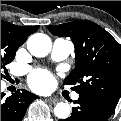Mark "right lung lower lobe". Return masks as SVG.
<instances>
[{
  "label": "right lung lower lobe",
  "mask_w": 121,
  "mask_h": 121,
  "mask_svg": "<svg viewBox=\"0 0 121 121\" xmlns=\"http://www.w3.org/2000/svg\"><path fill=\"white\" fill-rule=\"evenodd\" d=\"M1 93V121H21L29 104L38 98L26 90H17L10 97Z\"/></svg>",
  "instance_id": "1"
}]
</instances>
